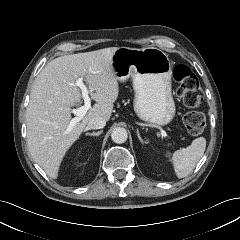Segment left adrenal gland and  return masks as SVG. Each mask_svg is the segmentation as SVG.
<instances>
[{"label": "left adrenal gland", "mask_w": 240, "mask_h": 240, "mask_svg": "<svg viewBox=\"0 0 240 240\" xmlns=\"http://www.w3.org/2000/svg\"><path fill=\"white\" fill-rule=\"evenodd\" d=\"M137 136H138V139L140 140L141 143H147L146 141H143V139L141 138L140 136V133H139V130L137 129Z\"/></svg>", "instance_id": "a2214340"}]
</instances>
